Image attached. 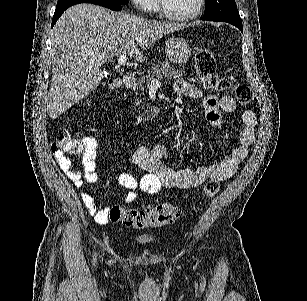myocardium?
<instances>
[{
    "label": "myocardium",
    "instance_id": "f54148a6",
    "mask_svg": "<svg viewBox=\"0 0 307 301\" xmlns=\"http://www.w3.org/2000/svg\"><path fill=\"white\" fill-rule=\"evenodd\" d=\"M204 0H197L194 11H167L165 0H158L154 12L157 17L164 18V22H185L188 18L199 16Z\"/></svg>",
    "mask_w": 307,
    "mask_h": 301
}]
</instances>
